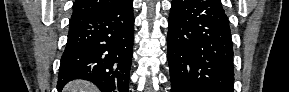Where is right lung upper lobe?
I'll use <instances>...</instances> for the list:
<instances>
[{
    "instance_id": "right-lung-upper-lobe-1",
    "label": "right lung upper lobe",
    "mask_w": 289,
    "mask_h": 92,
    "mask_svg": "<svg viewBox=\"0 0 289 92\" xmlns=\"http://www.w3.org/2000/svg\"><path fill=\"white\" fill-rule=\"evenodd\" d=\"M123 0H76L71 17L93 13L111 8Z\"/></svg>"
}]
</instances>
